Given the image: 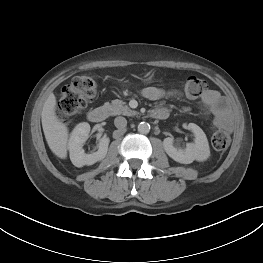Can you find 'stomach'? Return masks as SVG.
Instances as JSON below:
<instances>
[{"label":"stomach","instance_id":"obj_1","mask_svg":"<svg viewBox=\"0 0 263 263\" xmlns=\"http://www.w3.org/2000/svg\"><path fill=\"white\" fill-rule=\"evenodd\" d=\"M148 81H151V77L148 78Z\"/></svg>","mask_w":263,"mask_h":263}]
</instances>
